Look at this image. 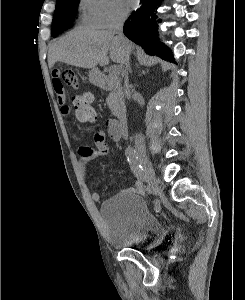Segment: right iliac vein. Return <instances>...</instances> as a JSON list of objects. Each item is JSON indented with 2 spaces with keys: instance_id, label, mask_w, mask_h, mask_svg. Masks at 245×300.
Instances as JSON below:
<instances>
[{
  "instance_id": "1",
  "label": "right iliac vein",
  "mask_w": 245,
  "mask_h": 300,
  "mask_svg": "<svg viewBox=\"0 0 245 300\" xmlns=\"http://www.w3.org/2000/svg\"><path fill=\"white\" fill-rule=\"evenodd\" d=\"M137 156L139 162L143 165L145 169L146 177H151V182H153V186H156V190H157V181H156L155 173L148 156L142 150L138 151Z\"/></svg>"
}]
</instances>
